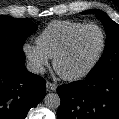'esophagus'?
Here are the masks:
<instances>
[{"instance_id": "esophagus-1", "label": "esophagus", "mask_w": 119, "mask_h": 119, "mask_svg": "<svg viewBox=\"0 0 119 119\" xmlns=\"http://www.w3.org/2000/svg\"><path fill=\"white\" fill-rule=\"evenodd\" d=\"M47 91H55L57 89V85L52 82H46Z\"/></svg>"}]
</instances>
